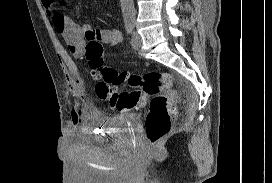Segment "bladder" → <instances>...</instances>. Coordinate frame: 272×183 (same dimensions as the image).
Returning a JSON list of instances; mask_svg holds the SVG:
<instances>
[{"instance_id":"31cf9c89","label":"bladder","mask_w":272,"mask_h":183,"mask_svg":"<svg viewBox=\"0 0 272 183\" xmlns=\"http://www.w3.org/2000/svg\"><path fill=\"white\" fill-rule=\"evenodd\" d=\"M96 121L109 130L133 133L139 126L140 116L136 113H126L113 116H102Z\"/></svg>"}]
</instances>
